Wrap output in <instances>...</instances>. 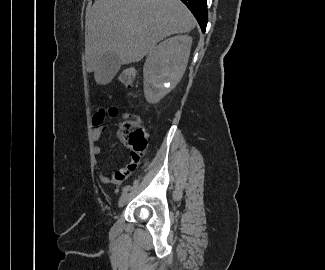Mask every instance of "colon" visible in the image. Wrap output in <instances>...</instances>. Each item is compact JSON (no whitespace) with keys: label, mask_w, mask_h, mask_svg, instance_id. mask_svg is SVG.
<instances>
[{"label":"colon","mask_w":325,"mask_h":270,"mask_svg":"<svg viewBox=\"0 0 325 270\" xmlns=\"http://www.w3.org/2000/svg\"><path fill=\"white\" fill-rule=\"evenodd\" d=\"M136 76V68L130 66L119 74L118 81L126 87H131L136 80ZM120 137L130 147V161L127 168L134 170L139 164L147 145L146 131L127 117L121 125Z\"/></svg>","instance_id":"colon-1"}]
</instances>
